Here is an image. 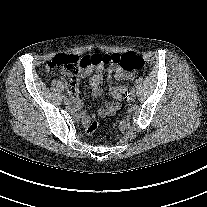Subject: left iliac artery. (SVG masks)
Returning a JSON list of instances; mask_svg holds the SVG:
<instances>
[{"instance_id":"left-iliac-artery-1","label":"left iliac artery","mask_w":207,"mask_h":207,"mask_svg":"<svg viewBox=\"0 0 207 207\" xmlns=\"http://www.w3.org/2000/svg\"><path fill=\"white\" fill-rule=\"evenodd\" d=\"M136 93V90L134 88H131L129 90V95H134Z\"/></svg>"}]
</instances>
